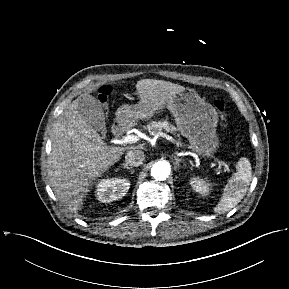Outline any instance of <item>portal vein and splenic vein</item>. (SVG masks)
Returning <instances> with one entry per match:
<instances>
[{"label":"portal vein and splenic vein","mask_w":289,"mask_h":289,"mask_svg":"<svg viewBox=\"0 0 289 289\" xmlns=\"http://www.w3.org/2000/svg\"><path fill=\"white\" fill-rule=\"evenodd\" d=\"M159 135L161 137H164L166 138L167 140L173 142V143H176L177 146H182L179 142L175 141L171 136L165 134V133H159ZM139 140V137L136 136V135H127V136H124L121 140H120V143H124V144H127V143H136L137 141ZM216 160V162L220 165V166H223L224 170L227 171L228 173H233L232 169L228 166V164L222 160H219L217 158H214Z\"/></svg>","instance_id":"portal-vein-and-splenic-vein-1"}]
</instances>
